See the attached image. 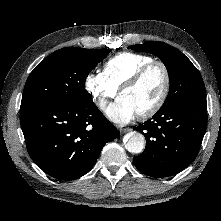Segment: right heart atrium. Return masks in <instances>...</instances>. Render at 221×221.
<instances>
[{"instance_id": "right-heart-atrium-1", "label": "right heart atrium", "mask_w": 221, "mask_h": 221, "mask_svg": "<svg viewBox=\"0 0 221 221\" xmlns=\"http://www.w3.org/2000/svg\"><path fill=\"white\" fill-rule=\"evenodd\" d=\"M84 89L100 110H105L117 90L102 72L91 71L84 78Z\"/></svg>"}]
</instances>
